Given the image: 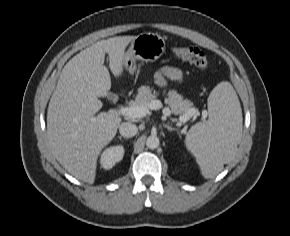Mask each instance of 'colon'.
Returning <instances> with one entry per match:
<instances>
[{"label":"colon","mask_w":290,"mask_h":236,"mask_svg":"<svg viewBox=\"0 0 290 236\" xmlns=\"http://www.w3.org/2000/svg\"><path fill=\"white\" fill-rule=\"evenodd\" d=\"M175 54L193 64L199 69L205 70L209 66L208 58L206 54L195 47H178L175 49Z\"/></svg>","instance_id":"colon-1"}]
</instances>
